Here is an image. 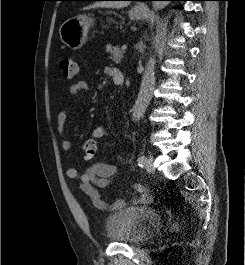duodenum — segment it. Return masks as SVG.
<instances>
[{
  "instance_id": "duodenum-1",
  "label": "duodenum",
  "mask_w": 245,
  "mask_h": 265,
  "mask_svg": "<svg viewBox=\"0 0 245 265\" xmlns=\"http://www.w3.org/2000/svg\"><path fill=\"white\" fill-rule=\"evenodd\" d=\"M124 82H125V78H124V79H117V80L114 81V83H115L116 85H123Z\"/></svg>"
}]
</instances>
